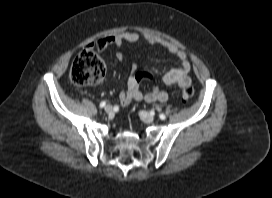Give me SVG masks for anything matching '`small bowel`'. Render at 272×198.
Instances as JSON below:
<instances>
[{"instance_id":"small-bowel-1","label":"small bowel","mask_w":272,"mask_h":198,"mask_svg":"<svg viewBox=\"0 0 272 198\" xmlns=\"http://www.w3.org/2000/svg\"><path fill=\"white\" fill-rule=\"evenodd\" d=\"M139 39H143L149 44L160 45L165 51L175 56L180 61L179 67L169 70L162 76V81L165 85L178 86L181 88L191 85V79L189 77L190 65L185 52L179 49L173 43L158 36L141 35L132 31L121 32L106 36L96 42H93L90 44V48L104 50L111 45L120 47L124 42H135ZM117 59L122 61L125 59V57L123 54L118 53ZM143 77L144 75L138 72L137 65L135 63L132 64L131 72L127 78V89L126 91H122L119 95L120 102L123 107H128L133 100H144L148 103L165 102L168 100V93L160 89H153L152 91L143 94L140 89V82Z\"/></svg>"}]
</instances>
